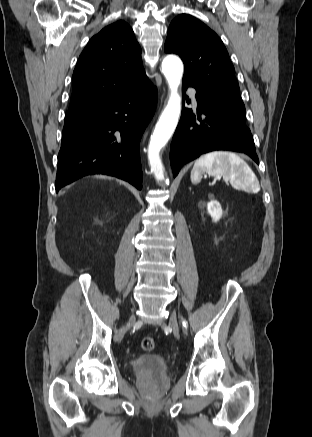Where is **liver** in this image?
I'll list each match as a JSON object with an SVG mask.
<instances>
[{"label":"liver","mask_w":312,"mask_h":437,"mask_svg":"<svg viewBox=\"0 0 312 437\" xmlns=\"http://www.w3.org/2000/svg\"><path fill=\"white\" fill-rule=\"evenodd\" d=\"M96 178L107 179L108 177H105V176H96Z\"/></svg>","instance_id":"6515ba94"}]
</instances>
